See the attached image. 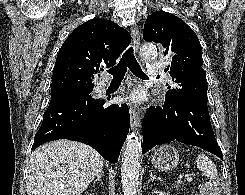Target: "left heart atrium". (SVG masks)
<instances>
[{"label": "left heart atrium", "instance_id": "obj_1", "mask_svg": "<svg viewBox=\"0 0 245 195\" xmlns=\"http://www.w3.org/2000/svg\"><path fill=\"white\" fill-rule=\"evenodd\" d=\"M125 100L130 103L138 104L145 100V95L141 90H134L125 97Z\"/></svg>", "mask_w": 245, "mask_h": 195}]
</instances>
